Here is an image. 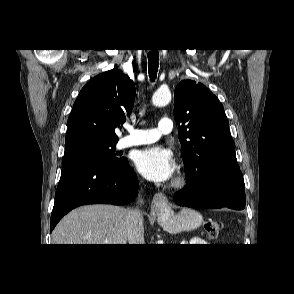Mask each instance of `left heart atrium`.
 <instances>
[{"instance_id": "1", "label": "left heart atrium", "mask_w": 294, "mask_h": 294, "mask_svg": "<svg viewBox=\"0 0 294 294\" xmlns=\"http://www.w3.org/2000/svg\"><path fill=\"white\" fill-rule=\"evenodd\" d=\"M134 162L143 177L155 182L171 180L176 171L172 153L161 147H150L137 152Z\"/></svg>"}]
</instances>
